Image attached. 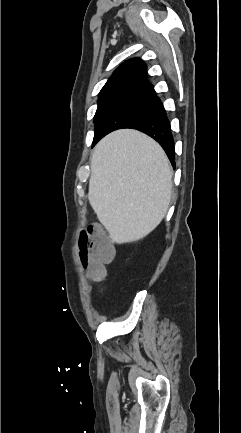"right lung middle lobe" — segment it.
Returning a JSON list of instances; mask_svg holds the SVG:
<instances>
[{
    "instance_id": "1",
    "label": "right lung middle lobe",
    "mask_w": 241,
    "mask_h": 433,
    "mask_svg": "<svg viewBox=\"0 0 241 433\" xmlns=\"http://www.w3.org/2000/svg\"><path fill=\"white\" fill-rule=\"evenodd\" d=\"M152 95H124L98 101L94 116L95 145L106 134L123 128L138 116L153 100Z\"/></svg>"
}]
</instances>
